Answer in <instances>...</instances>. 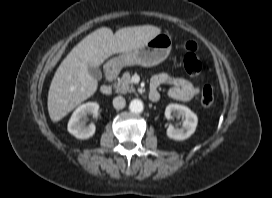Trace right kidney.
Instances as JSON below:
<instances>
[{"mask_svg":"<svg viewBox=\"0 0 272 198\" xmlns=\"http://www.w3.org/2000/svg\"><path fill=\"white\" fill-rule=\"evenodd\" d=\"M88 113L96 117L99 113V104L97 102H88L80 105L73 112L68 122V132L78 139H88L95 133V125L92 123L89 126H85L82 120Z\"/></svg>","mask_w":272,"mask_h":198,"instance_id":"ca27d5eb","label":"right kidney"}]
</instances>
